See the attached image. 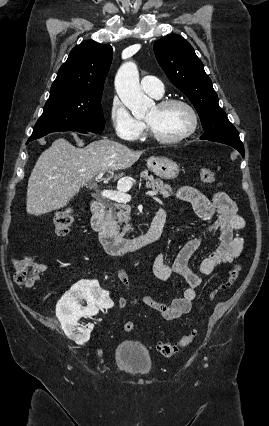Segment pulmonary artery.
Wrapping results in <instances>:
<instances>
[{
	"label": "pulmonary artery",
	"mask_w": 269,
	"mask_h": 426,
	"mask_svg": "<svg viewBox=\"0 0 269 426\" xmlns=\"http://www.w3.org/2000/svg\"><path fill=\"white\" fill-rule=\"evenodd\" d=\"M142 89L155 98H160L164 94L163 83L154 76H144L140 81Z\"/></svg>",
	"instance_id": "1"
}]
</instances>
